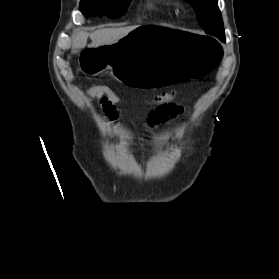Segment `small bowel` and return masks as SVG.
I'll return each mask as SVG.
<instances>
[{
  "label": "small bowel",
  "mask_w": 279,
  "mask_h": 279,
  "mask_svg": "<svg viewBox=\"0 0 279 279\" xmlns=\"http://www.w3.org/2000/svg\"><path fill=\"white\" fill-rule=\"evenodd\" d=\"M100 105L103 112L110 121L115 122L118 119L119 114L116 108V104L107 102L104 99H100ZM184 111L185 108L176 103L157 105L147 117V127L148 129H153L160 123L168 121L169 119H173L182 114Z\"/></svg>",
  "instance_id": "c3829d8e"
}]
</instances>
